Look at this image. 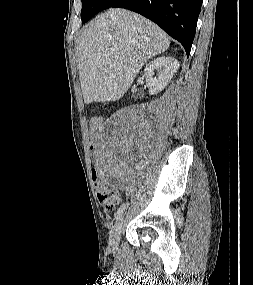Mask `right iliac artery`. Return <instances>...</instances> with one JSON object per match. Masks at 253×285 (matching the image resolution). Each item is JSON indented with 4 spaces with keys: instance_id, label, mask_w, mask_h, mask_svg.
<instances>
[{
    "instance_id": "obj_1",
    "label": "right iliac artery",
    "mask_w": 253,
    "mask_h": 285,
    "mask_svg": "<svg viewBox=\"0 0 253 285\" xmlns=\"http://www.w3.org/2000/svg\"><path fill=\"white\" fill-rule=\"evenodd\" d=\"M126 208V204L123 203L117 210V212L115 213V219L116 221H118L120 219V217L122 216L124 210Z\"/></svg>"
}]
</instances>
